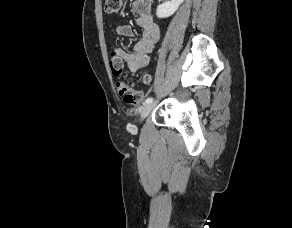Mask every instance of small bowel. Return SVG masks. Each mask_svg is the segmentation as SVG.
<instances>
[{"instance_id":"c3829d8e","label":"small bowel","mask_w":292,"mask_h":228,"mask_svg":"<svg viewBox=\"0 0 292 228\" xmlns=\"http://www.w3.org/2000/svg\"><path fill=\"white\" fill-rule=\"evenodd\" d=\"M151 7L152 0H135L133 2L136 22L142 30L140 39L135 43L131 51L115 48L111 53V56L120 59L122 64L125 63L132 73H136L148 65L151 53L160 37L159 26L153 18ZM117 33L124 37H132L134 29L131 25H119Z\"/></svg>"}]
</instances>
